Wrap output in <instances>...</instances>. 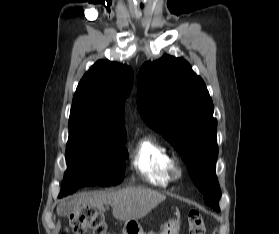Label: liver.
Segmentation results:
<instances>
[{
  "mask_svg": "<svg viewBox=\"0 0 279 234\" xmlns=\"http://www.w3.org/2000/svg\"><path fill=\"white\" fill-rule=\"evenodd\" d=\"M165 199V195L151 189L128 187L115 192L87 193L66 205L78 206L82 203L104 210V205L108 204L113 209L114 218L126 222L145 217ZM63 206L57 209L59 215H61L59 209Z\"/></svg>",
  "mask_w": 279,
  "mask_h": 234,
  "instance_id": "obj_1",
  "label": "liver"
}]
</instances>
